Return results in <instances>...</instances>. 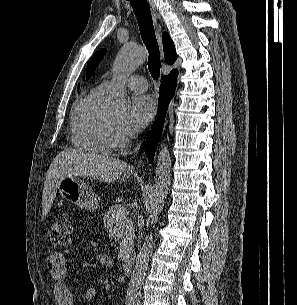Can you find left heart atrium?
Wrapping results in <instances>:
<instances>
[{
	"instance_id": "39dd6f15",
	"label": "left heart atrium",
	"mask_w": 297,
	"mask_h": 305,
	"mask_svg": "<svg viewBox=\"0 0 297 305\" xmlns=\"http://www.w3.org/2000/svg\"><path fill=\"white\" fill-rule=\"evenodd\" d=\"M155 104L147 95L136 96L132 99L126 119L122 123L123 131L134 135L143 130L152 120Z\"/></svg>"
}]
</instances>
